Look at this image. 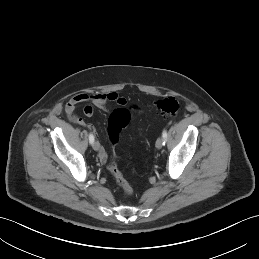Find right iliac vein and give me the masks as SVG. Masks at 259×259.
I'll use <instances>...</instances> for the list:
<instances>
[{
  "label": "right iliac vein",
  "mask_w": 259,
  "mask_h": 259,
  "mask_svg": "<svg viewBox=\"0 0 259 259\" xmlns=\"http://www.w3.org/2000/svg\"><path fill=\"white\" fill-rule=\"evenodd\" d=\"M92 147H93V149H94L95 151H98L99 148H100L99 142L95 141V142L93 143Z\"/></svg>",
  "instance_id": "1"
}]
</instances>
